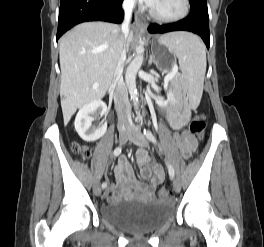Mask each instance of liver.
Wrapping results in <instances>:
<instances>
[{
    "label": "liver",
    "mask_w": 264,
    "mask_h": 247,
    "mask_svg": "<svg viewBox=\"0 0 264 247\" xmlns=\"http://www.w3.org/2000/svg\"><path fill=\"white\" fill-rule=\"evenodd\" d=\"M122 39L128 51L133 32L124 35L117 25L105 22L81 23L60 39L64 125L78 108L105 96L113 79Z\"/></svg>",
    "instance_id": "6515ba94"
}]
</instances>
